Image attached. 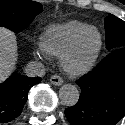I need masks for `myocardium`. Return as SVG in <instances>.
Listing matches in <instances>:
<instances>
[{"instance_id":"f54148a6","label":"myocardium","mask_w":125,"mask_h":125,"mask_svg":"<svg viewBox=\"0 0 125 125\" xmlns=\"http://www.w3.org/2000/svg\"><path fill=\"white\" fill-rule=\"evenodd\" d=\"M94 30L97 32L99 41L98 46L93 52V54L90 56V58L82 65H74L71 63L70 58L71 55L78 44L79 40L81 39L82 35L86 33L87 31ZM103 46V37L101 31L94 26H89L85 28L84 30L80 31L78 34L74 36V38L70 41V43L67 45V47L63 50V52L60 55V63L62 68L69 74L74 76H81L86 74L95 64L101 49Z\"/></svg>"}]
</instances>
